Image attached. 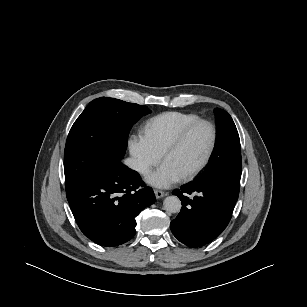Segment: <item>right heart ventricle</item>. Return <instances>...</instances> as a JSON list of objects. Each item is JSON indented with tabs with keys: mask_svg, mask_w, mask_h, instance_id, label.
I'll return each instance as SVG.
<instances>
[{
	"mask_svg": "<svg viewBox=\"0 0 307 307\" xmlns=\"http://www.w3.org/2000/svg\"><path fill=\"white\" fill-rule=\"evenodd\" d=\"M201 119L199 115L185 112H165L151 118L144 133L156 151L163 154L177 134L188 124Z\"/></svg>",
	"mask_w": 307,
	"mask_h": 307,
	"instance_id": "1",
	"label": "right heart ventricle"
}]
</instances>
